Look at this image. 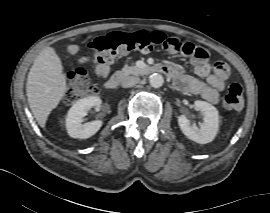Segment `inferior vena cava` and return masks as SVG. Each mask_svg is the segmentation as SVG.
<instances>
[{
    "mask_svg": "<svg viewBox=\"0 0 270 213\" xmlns=\"http://www.w3.org/2000/svg\"><path fill=\"white\" fill-rule=\"evenodd\" d=\"M139 82H140V79L138 77H134V76L125 77L121 81V86L123 88H128V87H132V86L138 84Z\"/></svg>",
    "mask_w": 270,
    "mask_h": 213,
    "instance_id": "1",
    "label": "inferior vena cava"
}]
</instances>
